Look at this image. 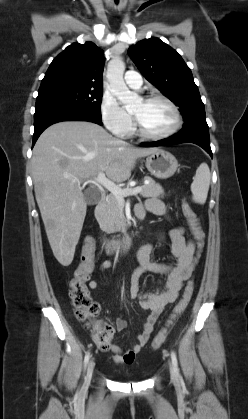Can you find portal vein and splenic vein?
I'll return each mask as SVG.
<instances>
[{
	"label": "portal vein and splenic vein",
	"instance_id": "18ae733b",
	"mask_svg": "<svg viewBox=\"0 0 248 419\" xmlns=\"http://www.w3.org/2000/svg\"><path fill=\"white\" fill-rule=\"evenodd\" d=\"M85 183H94V184H100L103 187H105L107 190H109L117 199L123 201V198L125 196L130 195H136L141 192L142 187L137 186L135 188H127L122 189L118 185H116L113 181L106 178L105 174L103 172H100L97 177L86 180Z\"/></svg>",
	"mask_w": 248,
	"mask_h": 419
}]
</instances>
